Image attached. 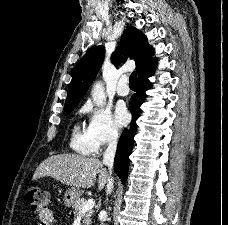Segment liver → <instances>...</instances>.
Wrapping results in <instances>:
<instances>
[{"instance_id":"liver-1","label":"liver","mask_w":228,"mask_h":225,"mask_svg":"<svg viewBox=\"0 0 228 225\" xmlns=\"http://www.w3.org/2000/svg\"><path fill=\"white\" fill-rule=\"evenodd\" d=\"M99 175V189H102L106 183L107 171L99 159L93 157H81V155H53L48 157L37 167L33 179H43V177H52L60 181L63 185L69 187H82L89 189L96 183V177Z\"/></svg>"}]
</instances>
